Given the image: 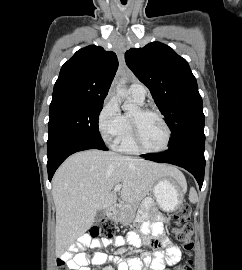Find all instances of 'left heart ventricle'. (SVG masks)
<instances>
[{
	"mask_svg": "<svg viewBox=\"0 0 242 270\" xmlns=\"http://www.w3.org/2000/svg\"><path fill=\"white\" fill-rule=\"evenodd\" d=\"M137 111L133 116L137 115ZM140 122V136L142 144L149 149L162 147L166 139V131L158 117L154 115L143 116Z\"/></svg>",
	"mask_w": 242,
	"mask_h": 270,
	"instance_id": "left-heart-ventricle-1",
	"label": "left heart ventricle"
}]
</instances>
